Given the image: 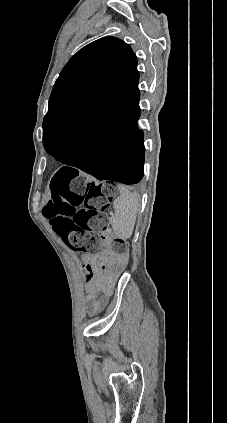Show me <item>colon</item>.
<instances>
[{
  "instance_id": "5ec220e1",
  "label": "colon",
  "mask_w": 227,
  "mask_h": 423,
  "mask_svg": "<svg viewBox=\"0 0 227 423\" xmlns=\"http://www.w3.org/2000/svg\"><path fill=\"white\" fill-rule=\"evenodd\" d=\"M113 197V186L96 184L71 170H60L52 179L43 214L70 249L94 253L101 247L98 233L106 228L105 212ZM113 248L118 254L125 252L120 239H114ZM91 276L85 266V277Z\"/></svg>"
}]
</instances>
